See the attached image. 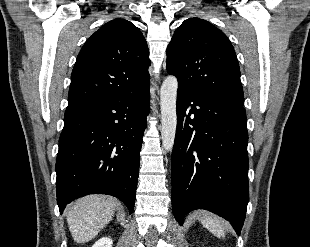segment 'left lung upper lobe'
I'll return each mask as SVG.
<instances>
[{
    "label": "left lung upper lobe",
    "instance_id": "left-lung-upper-lobe-1",
    "mask_svg": "<svg viewBox=\"0 0 310 247\" xmlns=\"http://www.w3.org/2000/svg\"><path fill=\"white\" fill-rule=\"evenodd\" d=\"M166 68L178 88L243 106L238 60L226 35L206 20L189 18L167 47Z\"/></svg>",
    "mask_w": 310,
    "mask_h": 247
}]
</instances>
